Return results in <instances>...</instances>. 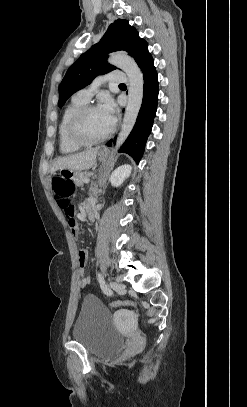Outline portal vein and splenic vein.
I'll return each instance as SVG.
<instances>
[{
	"mask_svg": "<svg viewBox=\"0 0 247 407\" xmlns=\"http://www.w3.org/2000/svg\"><path fill=\"white\" fill-rule=\"evenodd\" d=\"M89 181H90V179H89V178L85 179V183H88Z\"/></svg>",
	"mask_w": 247,
	"mask_h": 407,
	"instance_id": "1",
	"label": "portal vein and splenic vein"
}]
</instances>
